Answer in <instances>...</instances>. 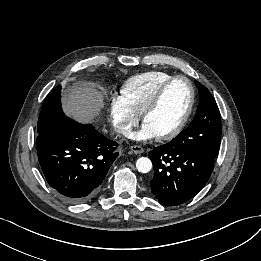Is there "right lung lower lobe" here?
Here are the masks:
<instances>
[{
	"label": "right lung lower lobe",
	"mask_w": 261,
	"mask_h": 261,
	"mask_svg": "<svg viewBox=\"0 0 261 261\" xmlns=\"http://www.w3.org/2000/svg\"><path fill=\"white\" fill-rule=\"evenodd\" d=\"M116 146L94 126L70 118L36 139L38 160L48 184L72 203L86 202L97 194L119 155Z\"/></svg>",
	"instance_id": "right-lung-lower-lobe-1"
}]
</instances>
